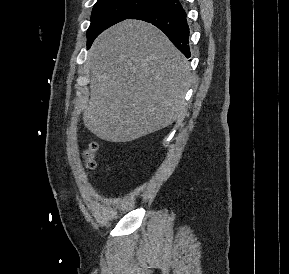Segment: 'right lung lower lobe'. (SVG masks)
<instances>
[{
  "label": "right lung lower lobe",
  "instance_id": "98d812e1",
  "mask_svg": "<svg viewBox=\"0 0 289 274\" xmlns=\"http://www.w3.org/2000/svg\"><path fill=\"white\" fill-rule=\"evenodd\" d=\"M130 19L152 23L162 30L187 58L190 57L189 27L185 10L179 0H163L131 16Z\"/></svg>",
  "mask_w": 289,
  "mask_h": 274
}]
</instances>
